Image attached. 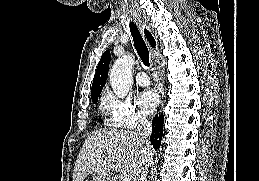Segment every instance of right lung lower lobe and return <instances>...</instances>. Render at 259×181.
<instances>
[{"instance_id":"1","label":"right lung lower lobe","mask_w":259,"mask_h":181,"mask_svg":"<svg viewBox=\"0 0 259 181\" xmlns=\"http://www.w3.org/2000/svg\"><path fill=\"white\" fill-rule=\"evenodd\" d=\"M163 120L164 116L161 114L160 116H155L152 121V134L150 136L151 144L155 149H159L163 134Z\"/></svg>"}]
</instances>
